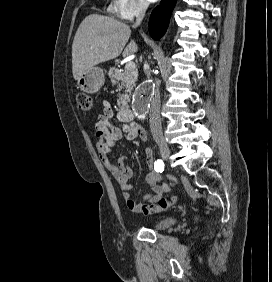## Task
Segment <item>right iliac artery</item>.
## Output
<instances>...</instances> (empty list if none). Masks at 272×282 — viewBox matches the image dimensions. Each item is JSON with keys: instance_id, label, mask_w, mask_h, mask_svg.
Returning <instances> with one entry per match:
<instances>
[{"instance_id": "right-iliac-artery-1", "label": "right iliac artery", "mask_w": 272, "mask_h": 282, "mask_svg": "<svg viewBox=\"0 0 272 282\" xmlns=\"http://www.w3.org/2000/svg\"><path fill=\"white\" fill-rule=\"evenodd\" d=\"M154 169L157 171V172H163L164 170V163L162 160L158 159L155 164H154Z\"/></svg>"}]
</instances>
